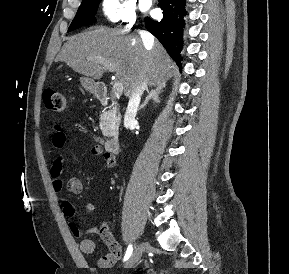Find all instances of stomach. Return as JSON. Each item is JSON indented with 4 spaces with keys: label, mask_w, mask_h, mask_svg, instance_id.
Segmentation results:
<instances>
[{
    "label": "stomach",
    "mask_w": 289,
    "mask_h": 274,
    "mask_svg": "<svg viewBox=\"0 0 289 274\" xmlns=\"http://www.w3.org/2000/svg\"><path fill=\"white\" fill-rule=\"evenodd\" d=\"M80 82L82 87L87 90L90 93H95L97 89V84L94 80L87 78V77H81Z\"/></svg>",
    "instance_id": "obj_1"
}]
</instances>
